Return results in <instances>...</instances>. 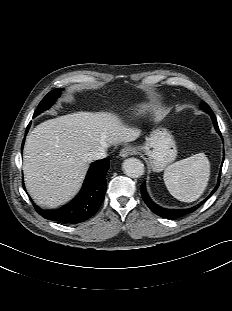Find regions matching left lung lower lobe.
Returning a JSON list of instances; mask_svg holds the SVG:
<instances>
[{"instance_id": "1", "label": "left lung lower lobe", "mask_w": 232, "mask_h": 311, "mask_svg": "<svg viewBox=\"0 0 232 311\" xmlns=\"http://www.w3.org/2000/svg\"><path fill=\"white\" fill-rule=\"evenodd\" d=\"M204 111L206 113H208L211 118H212V121H213V124H214V127L216 129V131L220 134V136L222 137L221 135V132L219 130V127H218V124H217V120H216V117L214 115V113L212 112L211 109H204ZM219 183H220V175H219V178H218V182H217V185L216 187L213 189V191L211 192V194L209 195V197L217 190L218 186H219ZM140 191H141V195L143 197V200L145 201V203L147 204V206L155 213L157 214L158 216H161V217H164V218H168V219H176V218H180L182 216H185L191 212H193L195 209H197V207H199L200 205H202L207 199H205L203 202H201L199 205H197V207H192V208H189V209H182V210H178V209H165V208H162L158 205H156L152 200L151 198L149 197L148 193L146 192V186H145V183L141 185L140 187Z\"/></svg>"}]
</instances>
